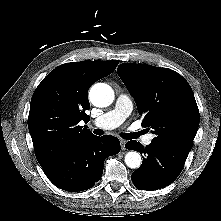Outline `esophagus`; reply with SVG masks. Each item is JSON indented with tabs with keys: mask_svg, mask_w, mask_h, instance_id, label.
<instances>
[{
	"mask_svg": "<svg viewBox=\"0 0 221 221\" xmlns=\"http://www.w3.org/2000/svg\"><path fill=\"white\" fill-rule=\"evenodd\" d=\"M120 143H121V149L125 150L126 141L125 140H121Z\"/></svg>",
	"mask_w": 221,
	"mask_h": 221,
	"instance_id": "34e87169",
	"label": "esophagus"
}]
</instances>
